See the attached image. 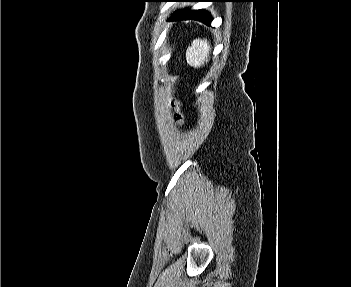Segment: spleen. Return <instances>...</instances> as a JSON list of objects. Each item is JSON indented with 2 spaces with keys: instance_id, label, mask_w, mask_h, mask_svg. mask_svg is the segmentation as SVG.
<instances>
[{
  "instance_id": "obj_1",
  "label": "spleen",
  "mask_w": 351,
  "mask_h": 287,
  "mask_svg": "<svg viewBox=\"0 0 351 287\" xmlns=\"http://www.w3.org/2000/svg\"><path fill=\"white\" fill-rule=\"evenodd\" d=\"M210 50V44L206 39L193 40L186 51L187 63L195 68L201 67L208 61Z\"/></svg>"
}]
</instances>
